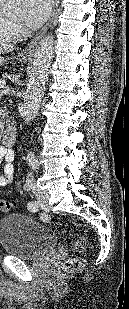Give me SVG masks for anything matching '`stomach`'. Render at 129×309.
Instances as JSON below:
<instances>
[{
	"label": "stomach",
	"mask_w": 129,
	"mask_h": 309,
	"mask_svg": "<svg viewBox=\"0 0 129 309\" xmlns=\"http://www.w3.org/2000/svg\"><path fill=\"white\" fill-rule=\"evenodd\" d=\"M19 61H23V62H26L29 57L27 56H24V55H18V58H17ZM6 59L0 55V66L4 65L6 63Z\"/></svg>",
	"instance_id": "0dacf381"
}]
</instances>
